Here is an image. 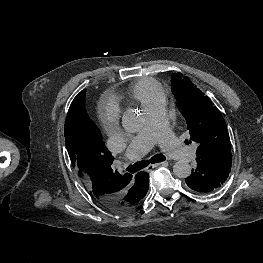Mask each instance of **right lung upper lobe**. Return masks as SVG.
<instances>
[{
	"instance_id": "obj_1",
	"label": "right lung upper lobe",
	"mask_w": 263,
	"mask_h": 263,
	"mask_svg": "<svg viewBox=\"0 0 263 263\" xmlns=\"http://www.w3.org/2000/svg\"><path fill=\"white\" fill-rule=\"evenodd\" d=\"M82 91L74 98L65 121L64 135L66 148L79 177L90 195L100 204L103 200L126 196L127 205L122 211L135 208L147 193V188L138 181L139 173L120 175L113 171L114 157L102 141V135L89 119L78 123V104Z\"/></svg>"
}]
</instances>
